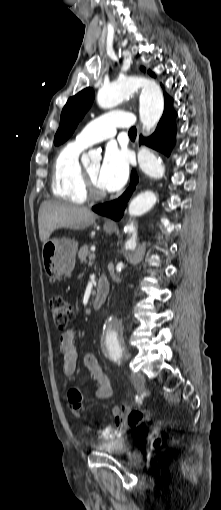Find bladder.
I'll return each mask as SVG.
<instances>
[{
	"instance_id": "1",
	"label": "bladder",
	"mask_w": 221,
	"mask_h": 510,
	"mask_svg": "<svg viewBox=\"0 0 221 510\" xmlns=\"http://www.w3.org/2000/svg\"><path fill=\"white\" fill-rule=\"evenodd\" d=\"M134 447V440L129 436H123L112 441H102L95 446L97 450L113 456H124L132 451Z\"/></svg>"
}]
</instances>
